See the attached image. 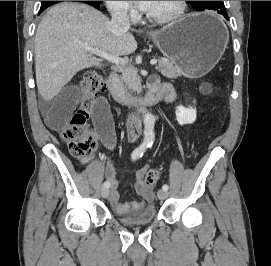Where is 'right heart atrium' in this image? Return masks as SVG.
<instances>
[{
	"mask_svg": "<svg viewBox=\"0 0 271 266\" xmlns=\"http://www.w3.org/2000/svg\"><path fill=\"white\" fill-rule=\"evenodd\" d=\"M108 10L114 16L133 19L136 16V10L129 1H105Z\"/></svg>",
	"mask_w": 271,
	"mask_h": 266,
	"instance_id": "obj_1",
	"label": "right heart atrium"
}]
</instances>
